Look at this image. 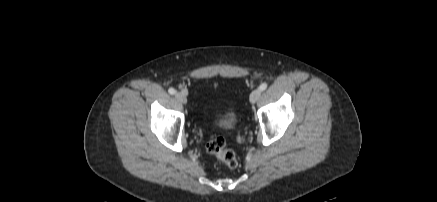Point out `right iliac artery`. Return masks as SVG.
<instances>
[{"label": "right iliac artery", "mask_w": 437, "mask_h": 202, "mask_svg": "<svg viewBox=\"0 0 437 202\" xmlns=\"http://www.w3.org/2000/svg\"><path fill=\"white\" fill-rule=\"evenodd\" d=\"M168 92H169L171 95H173V94H175V89H174V88H169Z\"/></svg>", "instance_id": "82829eb1"}]
</instances>
